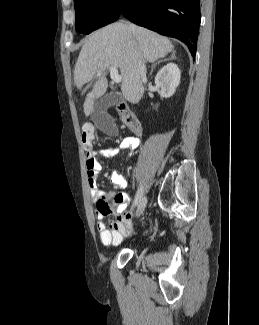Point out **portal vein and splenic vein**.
Masks as SVG:
<instances>
[{
	"instance_id": "portal-vein-and-splenic-vein-1",
	"label": "portal vein and splenic vein",
	"mask_w": 259,
	"mask_h": 325,
	"mask_svg": "<svg viewBox=\"0 0 259 325\" xmlns=\"http://www.w3.org/2000/svg\"><path fill=\"white\" fill-rule=\"evenodd\" d=\"M96 75L100 76L101 73L98 72ZM110 77L113 80V82H115V83H120L122 81V76L119 75L118 70H117L116 67H111L110 68Z\"/></svg>"
}]
</instances>
